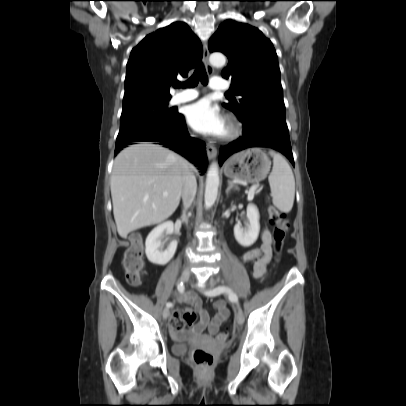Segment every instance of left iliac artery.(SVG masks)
Listing matches in <instances>:
<instances>
[{"mask_svg":"<svg viewBox=\"0 0 406 406\" xmlns=\"http://www.w3.org/2000/svg\"><path fill=\"white\" fill-rule=\"evenodd\" d=\"M222 293H226L231 301L238 302L237 295L227 286H218V287L214 288L213 290L206 291L205 295H207V296H217V295H220Z\"/></svg>","mask_w":406,"mask_h":406,"instance_id":"obj_1","label":"left iliac artery"}]
</instances>
